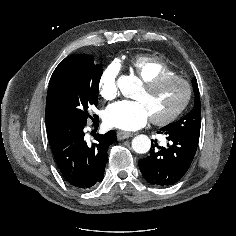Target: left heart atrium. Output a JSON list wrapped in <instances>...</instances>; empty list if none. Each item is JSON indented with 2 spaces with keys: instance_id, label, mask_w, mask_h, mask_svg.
<instances>
[{
  "instance_id": "left-heart-atrium-1",
  "label": "left heart atrium",
  "mask_w": 236,
  "mask_h": 236,
  "mask_svg": "<svg viewBox=\"0 0 236 236\" xmlns=\"http://www.w3.org/2000/svg\"><path fill=\"white\" fill-rule=\"evenodd\" d=\"M150 114L140 100H124L111 105L105 114L106 123L122 130L134 131L143 127Z\"/></svg>"
}]
</instances>
